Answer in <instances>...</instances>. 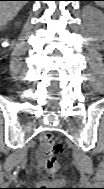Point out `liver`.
Instances as JSON below:
<instances>
[{
  "label": "liver",
  "mask_w": 104,
  "mask_h": 189,
  "mask_svg": "<svg viewBox=\"0 0 104 189\" xmlns=\"http://www.w3.org/2000/svg\"><path fill=\"white\" fill-rule=\"evenodd\" d=\"M25 1H1L0 2V25L3 27L11 21L20 9L25 5Z\"/></svg>",
  "instance_id": "1"
}]
</instances>
